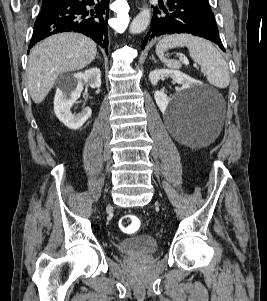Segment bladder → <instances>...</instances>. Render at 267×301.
I'll use <instances>...</instances> for the list:
<instances>
[{
    "instance_id": "1",
    "label": "bladder",
    "mask_w": 267,
    "mask_h": 301,
    "mask_svg": "<svg viewBox=\"0 0 267 301\" xmlns=\"http://www.w3.org/2000/svg\"><path fill=\"white\" fill-rule=\"evenodd\" d=\"M159 247L158 240L149 234H140L118 242L116 249L122 254L146 255L155 252Z\"/></svg>"
}]
</instances>
